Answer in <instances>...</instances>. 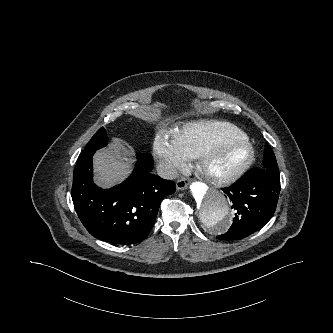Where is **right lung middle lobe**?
<instances>
[{"label":"right lung middle lobe","instance_id":"1","mask_svg":"<svg viewBox=\"0 0 333 333\" xmlns=\"http://www.w3.org/2000/svg\"><path fill=\"white\" fill-rule=\"evenodd\" d=\"M107 144V134L103 127H101L89 143L86 145L84 151H96Z\"/></svg>","mask_w":333,"mask_h":333}]
</instances>
